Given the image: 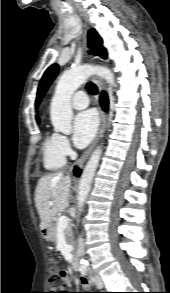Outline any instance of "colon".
<instances>
[{
    "instance_id": "1",
    "label": "colon",
    "mask_w": 170,
    "mask_h": 293,
    "mask_svg": "<svg viewBox=\"0 0 170 293\" xmlns=\"http://www.w3.org/2000/svg\"><path fill=\"white\" fill-rule=\"evenodd\" d=\"M49 283L52 289V292L49 293H65L60 291L69 284L67 271L59 267L56 262L52 263Z\"/></svg>"
}]
</instances>
